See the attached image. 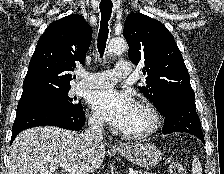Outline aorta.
<instances>
[{
	"instance_id": "762f6f07",
	"label": "aorta",
	"mask_w": 224,
	"mask_h": 174,
	"mask_svg": "<svg viewBox=\"0 0 224 174\" xmlns=\"http://www.w3.org/2000/svg\"><path fill=\"white\" fill-rule=\"evenodd\" d=\"M127 48V43L123 38H114L108 44V53L118 55L123 53Z\"/></svg>"
}]
</instances>
